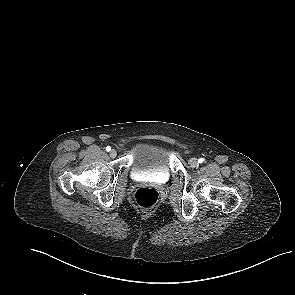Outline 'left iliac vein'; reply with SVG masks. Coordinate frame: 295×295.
<instances>
[{"mask_svg": "<svg viewBox=\"0 0 295 295\" xmlns=\"http://www.w3.org/2000/svg\"><path fill=\"white\" fill-rule=\"evenodd\" d=\"M189 165H190V167H192V168L197 167V166H198V160H197L196 158H191V159L189 160Z\"/></svg>", "mask_w": 295, "mask_h": 295, "instance_id": "left-iliac-vein-1", "label": "left iliac vein"}]
</instances>
